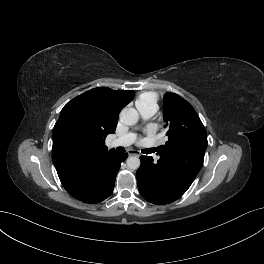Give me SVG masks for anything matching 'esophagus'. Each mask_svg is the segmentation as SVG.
<instances>
[{
	"label": "esophagus",
	"mask_w": 264,
	"mask_h": 264,
	"mask_svg": "<svg viewBox=\"0 0 264 264\" xmlns=\"http://www.w3.org/2000/svg\"><path fill=\"white\" fill-rule=\"evenodd\" d=\"M128 154H129V156H140L139 151L134 150V149L128 150Z\"/></svg>",
	"instance_id": "obj_1"
}]
</instances>
